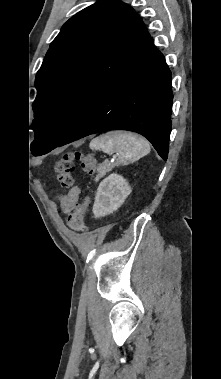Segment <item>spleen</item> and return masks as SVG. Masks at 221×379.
<instances>
[{"mask_svg": "<svg viewBox=\"0 0 221 379\" xmlns=\"http://www.w3.org/2000/svg\"><path fill=\"white\" fill-rule=\"evenodd\" d=\"M92 150L116 154L119 165H128L150 153L149 142L130 132L113 131L100 135L90 142Z\"/></svg>", "mask_w": 221, "mask_h": 379, "instance_id": "obj_1", "label": "spleen"}]
</instances>
